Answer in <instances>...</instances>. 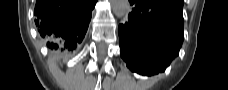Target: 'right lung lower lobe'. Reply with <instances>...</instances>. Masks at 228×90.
Here are the masks:
<instances>
[{"label":"right lung lower lobe","mask_w":228,"mask_h":90,"mask_svg":"<svg viewBox=\"0 0 228 90\" xmlns=\"http://www.w3.org/2000/svg\"><path fill=\"white\" fill-rule=\"evenodd\" d=\"M97 0H37L35 24L47 47L67 54L82 42Z\"/></svg>","instance_id":"right-lung-lower-lobe-1"}]
</instances>
